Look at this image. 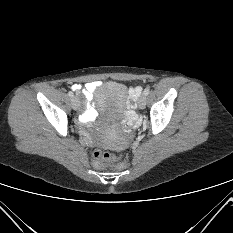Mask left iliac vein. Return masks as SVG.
<instances>
[{
  "mask_svg": "<svg viewBox=\"0 0 233 233\" xmlns=\"http://www.w3.org/2000/svg\"><path fill=\"white\" fill-rule=\"evenodd\" d=\"M138 107L139 109H144L146 106V95L142 94L138 99Z\"/></svg>",
  "mask_w": 233,
  "mask_h": 233,
  "instance_id": "4c4485c4",
  "label": "left iliac vein"
}]
</instances>
